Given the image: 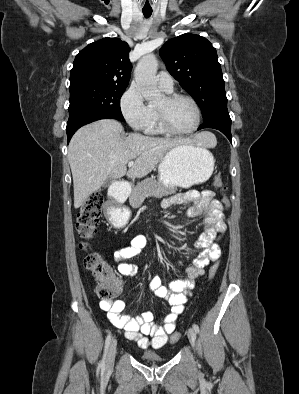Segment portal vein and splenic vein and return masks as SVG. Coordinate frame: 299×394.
<instances>
[{
  "label": "portal vein and splenic vein",
  "mask_w": 299,
  "mask_h": 394,
  "mask_svg": "<svg viewBox=\"0 0 299 394\" xmlns=\"http://www.w3.org/2000/svg\"><path fill=\"white\" fill-rule=\"evenodd\" d=\"M134 165V161H130L129 163H128V167H132Z\"/></svg>",
  "instance_id": "obj_1"
}]
</instances>
